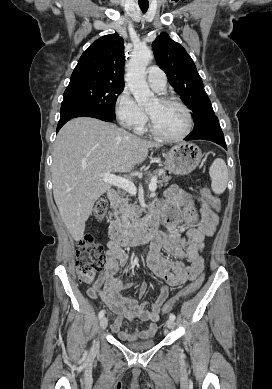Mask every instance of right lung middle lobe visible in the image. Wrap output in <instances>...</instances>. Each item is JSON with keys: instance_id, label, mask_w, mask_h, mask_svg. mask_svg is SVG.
<instances>
[{"instance_id": "1", "label": "right lung middle lobe", "mask_w": 272, "mask_h": 389, "mask_svg": "<svg viewBox=\"0 0 272 389\" xmlns=\"http://www.w3.org/2000/svg\"><path fill=\"white\" fill-rule=\"evenodd\" d=\"M123 89L122 85L104 82L70 83L64 92L61 106H87L115 118V103Z\"/></svg>"}]
</instances>
